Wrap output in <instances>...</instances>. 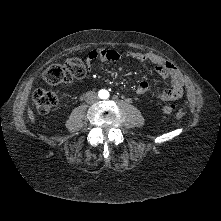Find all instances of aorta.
Here are the masks:
<instances>
[{"mask_svg":"<svg viewBox=\"0 0 221 221\" xmlns=\"http://www.w3.org/2000/svg\"><path fill=\"white\" fill-rule=\"evenodd\" d=\"M99 96H100L101 99H106V98H108L109 93H108V91H106V90H101V91L99 92Z\"/></svg>","mask_w":221,"mask_h":221,"instance_id":"762f6f07","label":"aorta"}]
</instances>
